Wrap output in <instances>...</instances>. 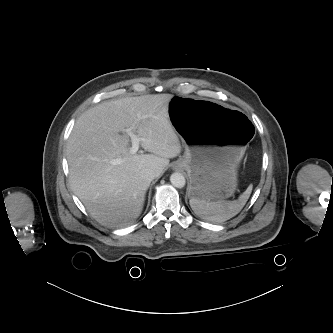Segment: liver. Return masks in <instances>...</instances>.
Returning a JSON list of instances; mask_svg holds the SVG:
<instances>
[{
	"label": "liver",
	"mask_w": 333,
	"mask_h": 333,
	"mask_svg": "<svg viewBox=\"0 0 333 333\" xmlns=\"http://www.w3.org/2000/svg\"><path fill=\"white\" fill-rule=\"evenodd\" d=\"M170 94L127 97L100 103L76 121L67 143L70 182L75 194L100 223L122 226L142 213L150 182L142 169L158 176L178 156L181 144L169 119ZM130 128L151 154H130ZM121 164L113 165V159Z\"/></svg>",
	"instance_id": "6515ba94"
}]
</instances>
